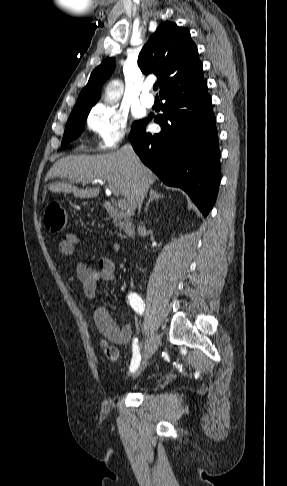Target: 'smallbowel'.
<instances>
[{"label":"small bowel","mask_w":287,"mask_h":486,"mask_svg":"<svg viewBox=\"0 0 287 486\" xmlns=\"http://www.w3.org/2000/svg\"><path fill=\"white\" fill-rule=\"evenodd\" d=\"M80 242V239L75 234L66 233L59 242V252L64 256H72ZM112 250L114 252L118 251L119 244L113 243ZM76 273L83 293L89 299H95L97 297V286L102 282L115 279L116 266L111 258L102 256L99 259L97 269L78 263ZM94 320L100 333L109 341L120 345L131 342L133 336L131 325H118L106 308H97L94 313Z\"/></svg>","instance_id":"c3829d8e"}]
</instances>
